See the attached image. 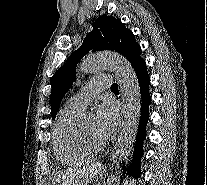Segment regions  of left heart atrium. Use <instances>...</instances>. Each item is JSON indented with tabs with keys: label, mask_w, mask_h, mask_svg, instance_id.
<instances>
[{
	"label": "left heart atrium",
	"mask_w": 207,
	"mask_h": 185,
	"mask_svg": "<svg viewBox=\"0 0 207 185\" xmlns=\"http://www.w3.org/2000/svg\"><path fill=\"white\" fill-rule=\"evenodd\" d=\"M119 126L118 107L112 101H105L96 109V132L102 139H110Z\"/></svg>",
	"instance_id": "39dd6f15"
}]
</instances>
